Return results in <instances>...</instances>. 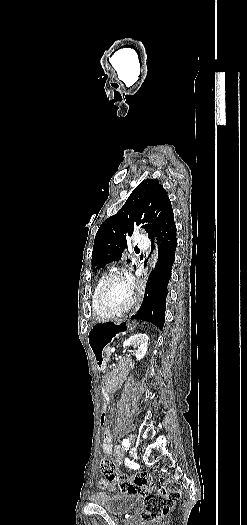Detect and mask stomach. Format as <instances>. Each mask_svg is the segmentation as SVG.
<instances>
[{
  "label": "stomach",
  "mask_w": 247,
  "mask_h": 525,
  "mask_svg": "<svg viewBox=\"0 0 247 525\" xmlns=\"http://www.w3.org/2000/svg\"><path fill=\"white\" fill-rule=\"evenodd\" d=\"M136 327L134 322L119 320L116 322L98 323L88 333V345L94 355L99 369L105 368L103 350L116 337Z\"/></svg>",
  "instance_id": "stomach-1"
}]
</instances>
